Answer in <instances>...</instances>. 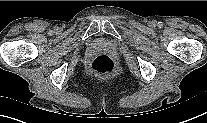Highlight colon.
Returning <instances> with one entry per match:
<instances>
[{
  "mask_svg": "<svg viewBox=\"0 0 207 123\" xmlns=\"http://www.w3.org/2000/svg\"><path fill=\"white\" fill-rule=\"evenodd\" d=\"M114 61L107 55L95 57L88 65V72L92 75H110L117 71Z\"/></svg>",
  "mask_w": 207,
  "mask_h": 123,
  "instance_id": "colon-1",
  "label": "colon"
}]
</instances>
